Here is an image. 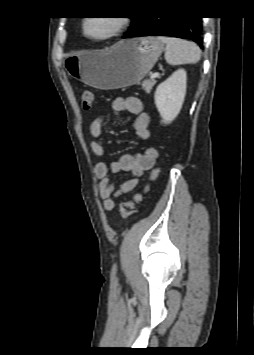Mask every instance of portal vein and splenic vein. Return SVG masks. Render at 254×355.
I'll list each match as a JSON object with an SVG mask.
<instances>
[{
    "label": "portal vein and splenic vein",
    "instance_id": "18ae733b",
    "mask_svg": "<svg viewBox=\"0 0 254 355\" xmlns=\"http://www.w3.org/2000/svg\"><path fill=\"white\" fill-rule=\"evenodd\" d=\"M159 75H160V74H159L158 72H155V73H152L150 77H151L152 79H154V78H156V77H159Z\"/></svg>",
    "mask_w": 254,
    "mask_h": 355
}]
</instances>
